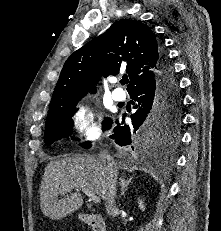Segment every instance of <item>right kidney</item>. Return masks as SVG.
<instances>
[{
  "instance_id": "obj_1",
  "label": "right kidney",
  "mask_w": 221,
  "mask_h": 231,
  "mask_svg": "<svg viewBox=\"0 0 221 231\" xmlns=\"http://www.w3.org/2000/svg\"><path fill=\"white\" fill-rule=\"evenodd\" d=\"M138 206L142 211L145 210V205H144V202L142 201V199H138Z\"/></svg>"
}]
</instances>
